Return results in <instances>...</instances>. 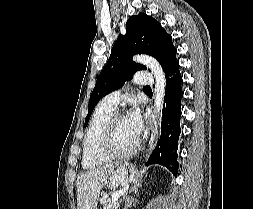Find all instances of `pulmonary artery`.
Returning <instances> with one entry per match:
<instances>
[{"label":"pulmonary artery","instance_id":"obj_1","mask_svg":"<svg viewBox=\"0 0 253 209\" xmlns=\"http://www.w3.org/2000/svg\"><path fill=\"white\" fill-rule=\"evenodd\" d=\"M135 83L138 85L146 84L149 87L154 83V79L149 72L139 71L136 74ZM120 96V91H114L105 96L102 102L111 108H115L120 100Z\"/></svg>","mask_w":253,"mask_h":209}]
</instances>
